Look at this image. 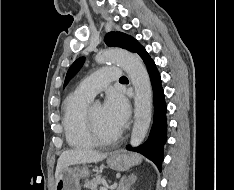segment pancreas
Here are the masks:
<instances>
[{
	"label": "pancreas",
	"instance_id": "1",
	"mask_svg": "<svg viewBox=\"0 0 234 190\" xmlns=\"http://www.w3.org/2000/svg\"><path fill=\"white\" fill-rule=\"evenodd\" d=\"M100 184H106V181L103 177H101V175H97L91 181L86 182L84 187L89 188L91 190H98L97 188Z\"/></svg>",
	"mask_w": 234,
	"mask_h": 190
}]
</instances>
